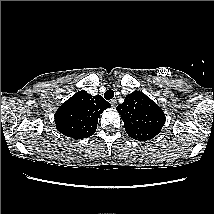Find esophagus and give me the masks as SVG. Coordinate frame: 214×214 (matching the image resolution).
Instances as JSON below:
<instances>
[{
	"instance_id": "obj_1",
	"label": "esophagus",
	"mask_w": 214,
	"mask_h": 214,
	"mask_svg": "<svg viewBox=\"0 0 214 214\" xmlns=\"http://www.w3.org/2000/svg\"><path fill=\"white\" fill-rule=\"evenodd\" d=\"M110 104H111L112 107H116L117 101L116 100H111Z\"/></svg>"
}]
</instances>
